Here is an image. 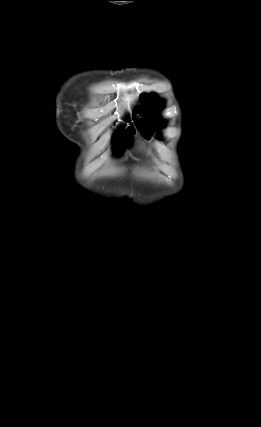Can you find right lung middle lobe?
Masks as SVG:
<instances>
[{"instance_id": "1", "label": "right lung middle lobe", "mask_w": 261, "mask_h": 427, "mask_svg": "<svg viewBox=\"0 0 261 427\" xmlns=\"http://www.w3.org/2000/svg\"><path fill=\"white\" fill-rule=\"evenodd\" d=\"M134 133L135 131L132 128L129 130L128 136L126 137V135L124 134V131L121 129L119 133H116L114 135V144H115L114 149H116L117 152H120L124 148L125 143L130 146L131 142L133 141V138L131 137V135Z\"/></svg>"}]
</instances>
